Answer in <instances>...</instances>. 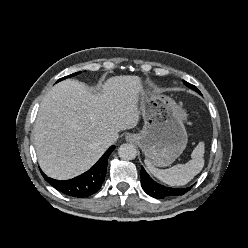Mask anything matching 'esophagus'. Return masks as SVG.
Returning <instances> with one entry per match:
<instances>
[{"label": "esophagus", "instance_id": "obj_1", "mask_svg": "<svg viewBox=\"0 0 248 248\" xmlns=\"http://www.w3.org/2000/svg\"><path fill=\"white\" fill-rule=\"evenodd\" d=\"M126 140H127L128 142H132V141H134V138H133V136L130 134V135H127V136H126Z\"/></svg>", "mask_w": 248, "mask_h": 248}]
</instances>
